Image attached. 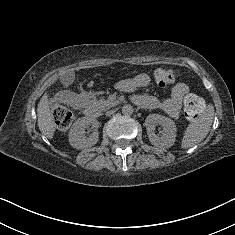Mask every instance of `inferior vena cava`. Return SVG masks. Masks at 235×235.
<instances>
[{"label":"inferior vena cava","instance_id":"1","mask_svg":"<svg viewBox=\"0 0 235 235\" xmlns=\"http://www.w3.org/2000/svg\"><path fill=\"white\" fill-rule=\"evenodd\" d=\"M111 114H112V111H108V112H107V115H111Z\"/></svg>","mask_w":235,"mask_h":235}]
</instances>
